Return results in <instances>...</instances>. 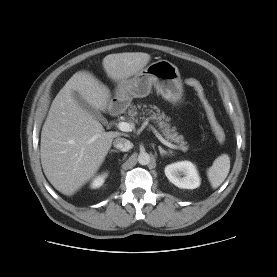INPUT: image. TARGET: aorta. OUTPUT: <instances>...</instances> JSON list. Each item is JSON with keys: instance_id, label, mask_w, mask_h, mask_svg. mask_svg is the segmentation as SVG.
Returning <instances> with one entry per match:
<instances>
[{"instance_id": "obj_1", "label": "aorta", "mask_w": 277, "mask_h": 277, "mask_svg": "<svg viewBox=\"0 0 277 277\" xmlns=\"http://www.w3.org/2000/svg\"><path fill=\"white\" fill-rule=\"evenodd\" d=\"M138 162L141 165H148L150 162V155L147 152H141L138 155Z\"/></svg>"}]
</instances>
